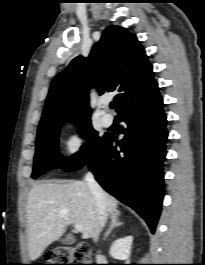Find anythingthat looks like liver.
<instances>
[{"label": "liver", "mask_w": 205, "mask_h": 265, "mask_svg": "<svg viewBox=\"0 0 205 265\" xmlns=\"http://www.w3.org/2000/svg\"><path fill=\"white\" fill-rule=\"evenodd\" d=\"M106 213H119L117 200L104 193ZM27 237L30 260L34 261L66 227L72 224L83 226L82 238L94 237L98 226L95 199L86 181L56 180L35 184L26 206Z\"/></svg>", "instance_id": "liver-1"}]
</instances>
